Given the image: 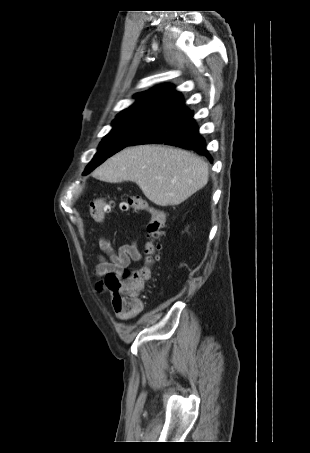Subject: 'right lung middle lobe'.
<instances>
[{
	"label": "right lung middle lobe",
	"instance_id": "1",
	"mask_svg": "<svg viewBox=\"0 0 310 453\" xmlns=\"http://www.w3.org/2000/svg\"><path fill=\"white\" fill-rule=\"evenodd\" d=\"M156 119V117L148 116L117 117L112 123L113 129L99 144V149L86 167L84 175L91 172L108 157L125 148Z\"/></svg>",
	"mask_w": 310,
	"mask_h": 453
}]
</instances>
